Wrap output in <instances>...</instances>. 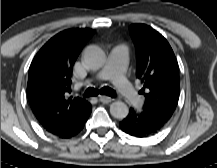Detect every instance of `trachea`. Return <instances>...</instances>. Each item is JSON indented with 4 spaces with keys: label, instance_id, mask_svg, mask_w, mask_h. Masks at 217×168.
<instances>
[{
    "label": "trachea",
    "instance_id": "trachea-1",
    "mask_svg": "<svg viewBox=\"0 0 217 168\" xmlns=\"http://www.w3.org/2000/svg\"><path fill=\"white\" fill-rule=\"evenodd\" d=\"M99 93L102 94V95H107V96H111V97L116 96V92L113 89H111V88H109L107 86L101 88L100 90H97V89H95L93 87H90V88L86 89L83 96L84 97L96 96Z\"/></svg>",
    "mask_w": 217,
    "mask_h": 168
}]
</instances>
